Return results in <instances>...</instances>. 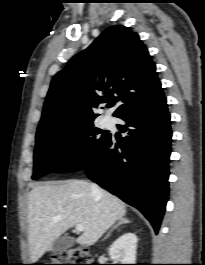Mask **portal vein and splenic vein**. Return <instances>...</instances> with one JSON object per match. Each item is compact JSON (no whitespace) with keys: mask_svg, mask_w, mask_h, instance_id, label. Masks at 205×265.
Instances as JSON below:
<instances>
[{"mask_svg":"<svg viewBox=\"0 0 205 265\" xmlns=\"http://www.w3.org/2000/svg\"><path fill=\"white\" fill-rule=\"evenodd\" d=\"M75 228H76V230H77L78 232H82V231L84 230V226L81 225V224L76 225Z\"/></svg>","mask_w":205,"mask_h":265,"instance_id":"1","label":"portal vein and splenic vein"}]
</instances>
